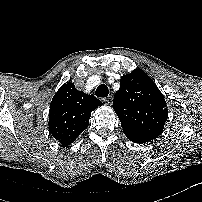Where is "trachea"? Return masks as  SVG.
Masks as SVG:
<instances>
[{
  "mask_svg": "<svg viewBox=\"0 0 202 202\" xmlns=\"http://www.w3.org/2000/svg\"><path fill=\"white\" fill-rule=\"evenodd\" d=\"M95 94L97 97H107L109 94V89L105 84H101L97 87Z\"/></svg>",
  "mask_w": 202,
  "mask_h": 202,
  "instance_id": "trachea-1",
  "label": "trachea"
}]
</instances>
